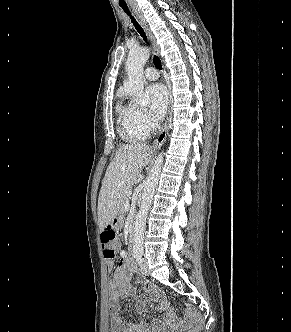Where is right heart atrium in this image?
Listing matches in <instances>:
<instances>
[{
  "label": "right heart atrium",
  "instance_id": "obj_1",
  "mask_svg": "<svg viewBox=\"0 0 291 332\" xmlns=\"http://www.w3.org/2000/svg\"><path fill=\"white\" fill-rule=\"evenodd\" d=\"M135 123L137 127L146 132H149L153 128V124L149 120L146 111L142 108H136Z\"/></svg>",
  "mask_w": 291,
  "mask_h": 332
}]
</instances>
